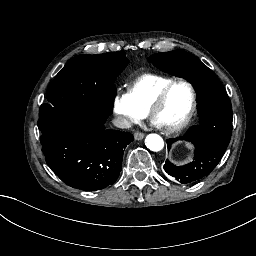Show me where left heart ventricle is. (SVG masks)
Instances as JSON below:
<instances>
[{"label":"left heart ventricle","mask_w":256,"mask_h":256,"mask_svg":"<svg viewBox=\"0 0 256 256\" xmlns=\"http://www.w3.org/2000/svg\"><path fill=\"white\" fill-rule=\"evenodd\" d=\"M191 104L189 87L184 83H178L170 90L162 106L152 112V118L162 124L163 131L168 132L185 118Z\"/></svg>","instance_id":"left-heart-ventricle-1"}]
</instances>
